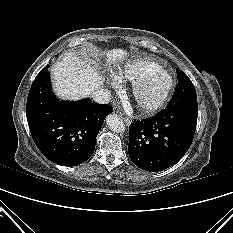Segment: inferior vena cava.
I'll list each match as a JSON object with an SVG mask.
<instances>
[{"label":"inferior vena cava","mask_w":233,"mask_h":233,"mask_svg":"<svg viewBox=\"0 0 233 233\" xmlns=\"http://www.w3.org/2000/svg\"><path fill=\"white\" fill-rule=\"evenodd\" d=\"M92 98L99 104H106L110 102L112 97L109 90L101 88L92 93Z\"/></svg>","instance_id":"1"}]
</instances>
